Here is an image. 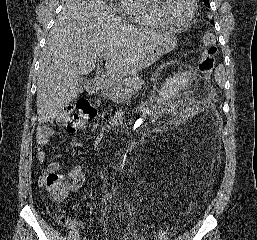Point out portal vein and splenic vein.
I'll use <instances>...</instances> for the list:
<instances>
[{
	"mask_svg": "<svg viewBox=\"0 0 257 240\" xmlns=\"http://www.w3.org/2000/svg\"><path fill=\"white\" fill-rule=\"evenodd\" d=\"M107 57L108 56L106 54H103V55L99 56V59H102V58L106 59Z\"/></svg>",
	"mask_w": 257,
	"mask_h": 240,
	"instance_id": "portal-vein-and-splenic-vein-1",
	"label": "portal vein and splenic vein"
}]
</instances>
